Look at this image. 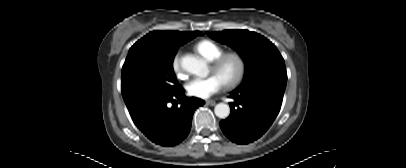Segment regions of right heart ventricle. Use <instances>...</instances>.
Segmentation results:
<instances>
[{"mask_svg": "<svg viewBox=\"0 0 406 168\" xmlns=\"http://www.w3.org/2000/svg\"><path fill=\"white\" fill-rule=\"evenodd\" d=\"M195 49L208 61H213L219 57L224 49L211 40H201L195 45Z\"/></svg>", "mask_w": 406, "mask_h": 168, "instance_id": "obj_1", "label": "right heart ventricle"}]
</instances>
